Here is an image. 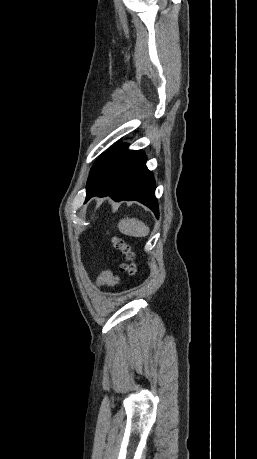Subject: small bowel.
<instances>
[{
    "instance_id": "c3829d8e",
    "label": "small bowel",
    "mask_w": 257,
    "mask_h": 459,
    "mask_svg": "<svg viewBox=\"0 0 257 459\" xmlns=\"http://www.w3.org/2000/svg\"><path fill=\"white\" fill-rule=\"evenodd\" d=\"M118 283V277L110 270L101 271L96 280V284L100 287H115Z\"/></svg>"
}]
</instances>
